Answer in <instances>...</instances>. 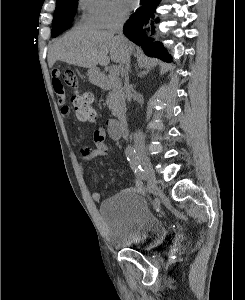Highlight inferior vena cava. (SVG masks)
<instances>
[{
    "mask_svg": "<svg viewBox=\"0 0 245 300\" xmlns=\"http://www.w3.org/2000/svg\"><path fill=\"white\" fill-rule=\"evenodd\" d=\"M127 15L124 13L118 14L112 24L111 31L113 33L117 34V38L120 39L123 43L126 42L125 37L123 36V25L126 21ZM125 68H124V74H125V85H126V91L128 92V95L130 96V89H129V77H128V71L130 68V59L127 57L125 60ZM134 144L135 149L137 151H143L144 150V137L142 132L138 131L134 135Z\"/></svg>",
    "mask_w": 245,
    "mask_h": 300,
    "instance_id": "602c4592",
    "label": "inferior vena cava"
}]
</instances>
